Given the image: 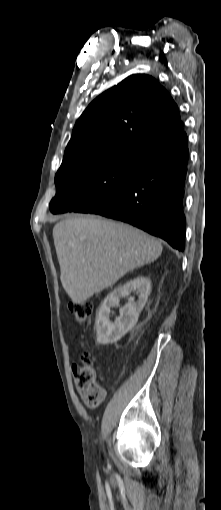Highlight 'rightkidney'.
Segmentation results:
<instances>
[{"label":"right kidney","mask_w":221,"mask_h":510,"mask_svg":"<svg viewBox=\"0 0 221 510\" xmlns=\"http://www.w3.org/2000/svg\"><path fill=\"white\" fill-rule=\"evenodd\" d=\"M150 290V280L144 276H139L123 286L116 287L104 299L95 322L98 344L115 343L136 325L139 314L147 302ZM131 292L138 294V300L134 302V297H130V302L120 309V317L111 322L110 309L118 307L120 298L129 296Z\"/></svg>","instance_id":"1"}]
</instances>
